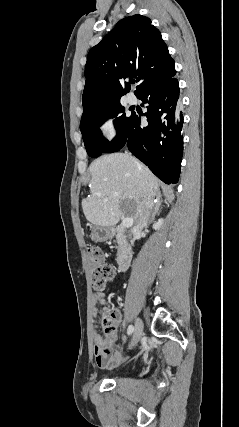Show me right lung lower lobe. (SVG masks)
Returning <instances> with one entry per match:
<instances>
[{
	"instance_id": "obj_1",
	"label": "right lung lower lobe",
	"mask_w": 239,
	"mask_h": 427,
	"mask_svg": "<svg viewBox=\"0 0 239 427\" xmlns=\"http://www.w3.org/2000/svg\"><path fill=\"white\" fill-rule=\"evenodd\" d=\"M175 74L146 87L137 96L147 108L144 116L148 125L142 126L140 117L133 114L123 145L166 184L178 182L183 155V114Z\"/></svg>"
}]
</instances>
